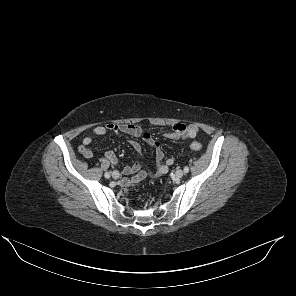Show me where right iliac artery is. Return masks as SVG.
<instances>
[{"label": "right iliac artery", "instance_id": "obj_1", "mask_svg": "<svg viewBox=\"0 0 296 296\" xmlns=\"http://www.w3.org/2000/svg\"><path fill=\"white\" fill-rule=\"evenodd\" d=\"M104 176H105V178H110V174H109L108 172H106V173L104 174Z\"/></svg>", "mask_w": 296, "mask_h": 296}]
</instances>
